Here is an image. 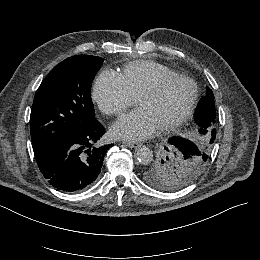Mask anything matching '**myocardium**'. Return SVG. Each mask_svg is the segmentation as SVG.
Listing matches in <instances>:
<instances>
[{
  "instance_id": "obj_1",
  "label": "myocardium",
  "mask_w": 260,
  "mask_h": 260,
  "mask_svg": "<svg viewBox=\"0 0 260 260\" xmlns=\"http://www.w3.org/2000/svg\"><path fill=\"white\" fill-rule=\"evenodd\" d=\"M176 79H182V80H186V81H189L190 83H192V85L194 86V96H193V99L191 100L188 108L185 110V112L179 118H177L176 120H174L172 122H169V123L156 127V130L158 133L173 131V130L179 128L184 122L187 121V119L193 113V111L199 101V98H200V91H199L198 87L195 84H193V82L187 76L180 74V73H176V74L161 76V77L157 78L152 84H150L149 86L142 89L138 93L137 97L135 98V103L137 104V102L142 97L156 94L163 85H165L166 83H168L170 81L176 80Z\"/></svg>"
}]
</instances>
